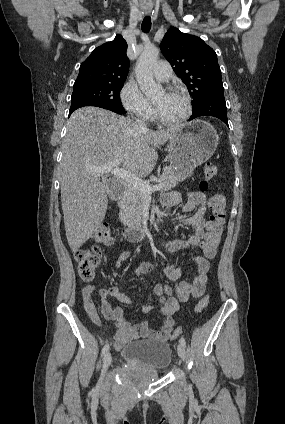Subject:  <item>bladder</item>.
<instances>
[{
  "mask_svg": "<svg viewBox=\"0 0 285 424\" xmlns=\"http://www.w3.org/2000/svg\"><path fill=\"white\" fill-rule=\"evenodd\" d=\"M122 358L125 364L134 365L156 377L170 366L172 349L161 340H137L123 347Z\"/></svg>",
  "mask_w": 285,
  "mask_h": 424,
  "instance_id": "bladder-1",
  "label": "bladder"
}]
</instances>
